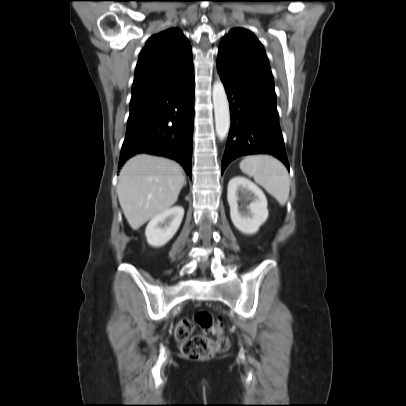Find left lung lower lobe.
<instances>
[{
	"mask_svg": "<svg viewBox=\"0 0 406 406\" xmlns=\"http://www.w3.org/2000/svg\"><path fill=\"white\" fill-rule=\"evenodd\" d=\"M217 69L228 95L232 120L222 172L232 160L250 154L274 155L289 169L274 83L222 58H217Z\"/></svg>",
	"mask_w": 406,
	"mask_h": 406,
	"instance_id": "left-lung-lower-lobe-1",
	"label": "left lung lower lobe"
}]
</instances>
